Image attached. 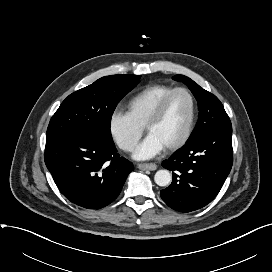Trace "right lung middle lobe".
Wrapping results in <instances>:
<instances>
[{"mask_svg":"<svg viewBox=\"0 0 272 272\" xmlns=\"http://www.w3.org/2000/svg\"><path fill=\"white\" fill-rule=\"evenodd\" d=\"M140 75H112L69 95L52 116L46 141L86 132L113 144L111 117L119 101L139 82Z\"/></svg>","mask_w":272,"mask_h":272,"instance_id":"dd1d6c3e","label":"right lung middle lobe"}]
</instances>
